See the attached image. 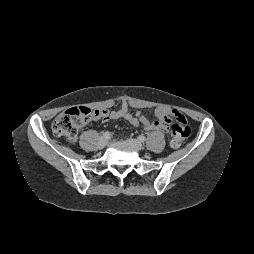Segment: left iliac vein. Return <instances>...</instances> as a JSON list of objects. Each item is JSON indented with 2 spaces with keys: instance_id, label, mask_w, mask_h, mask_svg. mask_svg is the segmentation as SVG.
Returning a JSON list of instances; mask_svg holds the SVG:
<instances>
[{
  "instance_id": "left-iliac-vein-1",
  "label": "left iliac vein",
  "mask_w": 254,
  "mask_h": 254,
  "mask_svg": "<svg viewBox=\"0 0 254 254\" xmlns=\"http://www.w3.org/2000/svg\"><path fill=\"white\" fill-rule=\"evenodd\" d=\"M128 142L137 150H141L143 148L141 142L136 139H128Z\"/></svg>"
}]
</instances>
